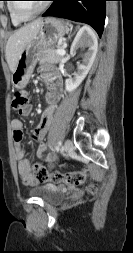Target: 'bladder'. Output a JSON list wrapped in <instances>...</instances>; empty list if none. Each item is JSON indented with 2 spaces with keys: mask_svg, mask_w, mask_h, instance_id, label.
<instances>
[{
  "mask_svg": "<svg viewBox=\"0 0 133 253\" xmlns=\"http://www.w3.org/2000/svg\"><path fill=\"white\" fill-rule=\"evenodd\" d=\"M32 196L42 199L44 202L56 204L61 202L65 194L61 189L49 185L33 187L30 191Z\"/></svg>",
  "mask_w": 133,
  "mask_h": 253,
  "instance_id": "obj_1",
  "label": "bladder"
}]
</instances>
